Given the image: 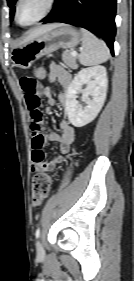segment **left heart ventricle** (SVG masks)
<instances>
[{
    "label": "left heart ventricle",
    "instance_id": "obj_1",
    "mask_svg": "<svg viewBox=\"0 0 134 281\" xmlns=\"http://www.w3.org/2000/svg\"><path fill=\"white\" fill-rule=\"evenodd\" d=\"M48 0H23L19 7L18 17L22 24H29L37 19L46 9Z\"/></svg>",
    "mask_w": 134,
    "mask_h": 281
}]
</instances>
